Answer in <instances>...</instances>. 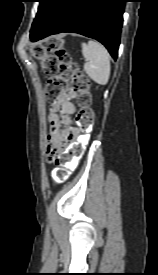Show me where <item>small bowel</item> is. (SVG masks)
Returning <instances> with one entry per match:
<instances>
[{"mask_svg": "<svg viewBox=\"0 0 158 275\" xmlns=\"http://www.w3.org/2000/svg\"><path fill=\"white\" fill-rule=\"evenodd\" d=\"M74 98L75 94L68 91L50 105V132L46 142V157L49 161L64 152L79 137L78 130L72 127L71 117L76 109Z\"/></svg>", "mask_w": 158, "mask_h": 275, "instance_id": "c3829d8e", "label": "small bowel"}]
</instances>
